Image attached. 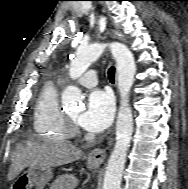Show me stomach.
Instances as JSON below:
<instances>
[{"mask_svg":"<svg viewBox=\"0 0 188 189\" xmlns=\"http://www.w3.org/2000/svg\"><path fill=\"white\" fill-rule=\"evenodd\" d=\"M88 168L94 169L98 163H87ZM53 173L51 167H29L12 184L11 189H43L52 179ZM63 177L61 182L63 181Z\"/></svg>","mask_w":188,"mask_h":189,"instance_id":"stomach-1","label":"stomach"}]
</instances>
